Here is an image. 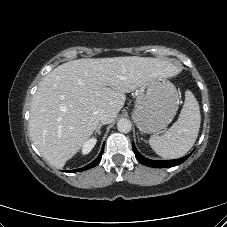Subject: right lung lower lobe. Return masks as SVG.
Here are the masks:
<instances>
[{
    "mask_svg": "<svg viewBox=\"0 0 227 227\" xmlns=\"http://www.w3.org/2000/svg\"><path fill=\"white\" fill-rule=\"evenodd\" d=\"M102 154H103V148H102L99 156L92 163L88 164L87 166H85L83 168L71 170L69 172L83 171V170H87V169L93 168L94 166H96L100 162Z\"/></svg>",
    "mask_w": 227,
    "mask_h": 227,
    "instance_id": "right-lung-lower-lobe-1",
    "label": "right lung lower lobe"
}]
</instances>
